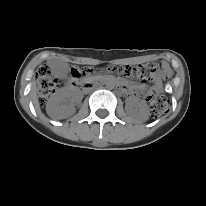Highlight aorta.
<instances>
[{
    "label": "aorta",
    "instance_id": "1",
    "mask_svg": "<svg viewBox=\"0 0 206 206\" xmlns=\"http://www.w3.org/2000/svg\"><path fill=\"white\" fill-rule=\"evenodd\" d=\"M114 87H115L114 82L112 80H107L106 88L109 89V90H112V89H114Z\"/></svg>",
    "mask_w": 206,
    "mask_h": 206
}]
</instances>
